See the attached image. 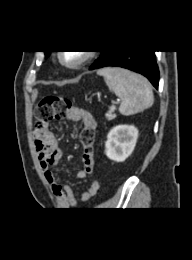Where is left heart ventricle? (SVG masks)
Segmentation results:
<instances>
[{
	"mask_svg": "<svg viewBox=\"0 0 192 260\" xmlns=\"http://www.w3.org/2000/svg\"><path fill=\"white\" fill-rule=\"evenodd\" d=\"M82 53L79 51H69L65 52L64 58L68 62H74L81 57Z\"/></svg>",
	"mask_w": 192,
	"mask_h": 260,
	"instance_id": "1",
	"label": "left heart ventricle"
}]
</instances>
